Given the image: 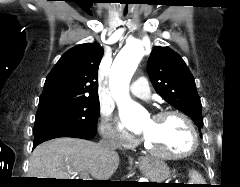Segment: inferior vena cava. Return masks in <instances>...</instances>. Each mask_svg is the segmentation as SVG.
Listing matches in <instances>:
<instances>
[{"instance_id": "obj_1", "label": "inferior vena cava", "mask_w": 240, "mask_h": 187, "mask_svg": "<svg viewBox=\"0 0 240 187\" xmlns=\"http://www.w3.org/2000/svg\"><path fill=\"white\" fill-rule=\"evenodd\" d=\"M99 146L105 153L114 154L115 150L119 147L116 138L112 135H105L100 141Z\"/></svg>"}]
</instances>
